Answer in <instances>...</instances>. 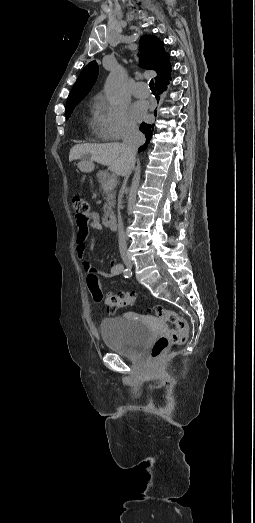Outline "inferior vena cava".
Masks as SVG:
<instances>
[{
  "instance_id": "1",
  "label": "inferior vena cava",
  "mask_w": 255,
  "mask_h": 523,
  "mask_svg": "<svg viewBox=\"0 0 255 523\" xmlns=\"http://www.w3.org/2000/svg\"><path fill=\"white\" fill-rule=\"evenodd\" d=\"M144 142V134L139 132L138 126H135V124H129L125 132L123 150L121 154V158L126 164V168L122 174V176H124L122 190H125L127 180L135 166V156L137 154V150L139 146L144 144ZM118 236L120 254H126L127 244L120 212L118 214Z\"/></svg>"
}]
</instances>
